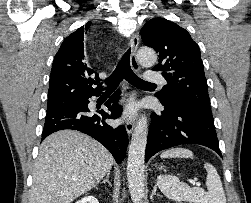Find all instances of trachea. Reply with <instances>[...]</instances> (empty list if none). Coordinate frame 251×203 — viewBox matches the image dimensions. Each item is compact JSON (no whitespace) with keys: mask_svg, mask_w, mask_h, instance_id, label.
Returning a JSON list of instances; mask_svg holds the SVG:
<instances>
[{"mask_svg":"<svg viewBox=\"0 0 251 203\" xmlns=\"http://www.w3.org/2000/svg\"><path fill=\"white\" fill-rule=\"evenodd\" d=\"M130 53L131 49L129 48L121 57V60L116 70L112 73L110 77L105 80L107 90H115L118 87L119 83L123 80V78L134 86L155 85L153 83H149L142 80L132 71L130 66Z\"/></svg>","mask_w":251,"mask_h":203,"instance_id":"trachea-1","label":"trachea"}]
</instances>
